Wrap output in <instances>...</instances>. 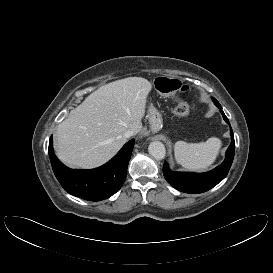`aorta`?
<instances>
[{
    "mask_svg": "<svg viewBox=\"0 0 273 273\" xmlns=\"http://www.w3.org/2000/svg\"><path fill=\"white\" fill-rule=\"evenodd\" d=\"M149 154L157 160H161L165 157L166 149L162 142L154 141L149 144Z\"/></svg>",
    "mask_w": 273,
    "mask_h": 273,
    "instance_id": "aorta-1",
    "label": "aorta"
}]
</instances>
